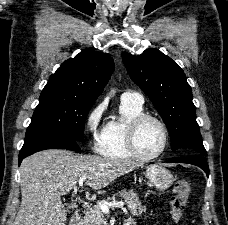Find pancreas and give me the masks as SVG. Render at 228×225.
<instances>
[{"mask_svg": "<svg viewBox=\"0 0 228 225\" xmlns=\"http://www.w3.org/2000/svg\"><path fill=\"white\" fill-rule=\"evenodd\" d=\"M119 197L125 199L127 209L132 215L141 217L142 213H145L146 207H142V203H140L136 193H133V191H120ZM109 201L111 199L108 197L106 203H109ZM83 225H107L100 207H94L92 211L86 213L85 217H83Z\"/></svg>", "mask_w": 228, "mask_h": 225, "instance_id": "1", "label": "pancreas"}]
</instances>
